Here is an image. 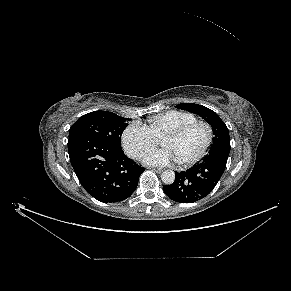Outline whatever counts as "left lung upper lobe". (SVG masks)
Returning <instances> with one entry per match:
<instances>
[{
    "instance_id": "5c2ea615",
    "label": "left lung upper lobe",
    "mask_w": 291,
    "mask_h": 291,
    "mask_svg": "<svg viewBox=\"0 0 291 291\" xmlns=\"http://www.w3.org/2000/svg\"><path fill=\"white\" fill-rule=\"evenodd\" d=\"M176 108L184 109L191 113L198 114L211 125L214 134L213 144L211 148L218 144H230L228 128L214 111L205 106L194 103H182L177 105Z\"/></svg>"
}]
</instances>
